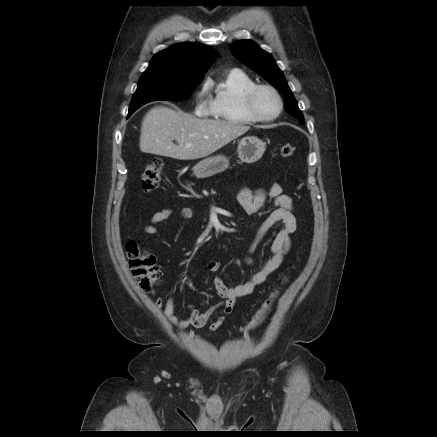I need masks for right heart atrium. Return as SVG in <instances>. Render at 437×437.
I'll list each match as a JSON object with an SVG mask.
<instances>
[{"label":"right heart atrium","mask_w":437,"mask_h":437,"mask_svg":"<svg viewBox=\"0 0 437 437\" xmlns=\"http://www.w3.org/2000/svg\"><path fill=\"white\" fill-rule=\"evenodd\" d=\"M207 86L204 85L196 95L195 111L199 115H207L211 112V104L206 101Z\"/></svg>","instance_id":"1"}]
</instances>
